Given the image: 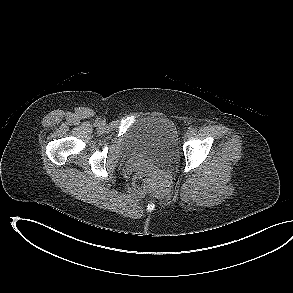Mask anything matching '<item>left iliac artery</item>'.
Returning a JSON list of instances; mask_svg holds the SVG:
<instances>
[{"label": "left iliac artery", "mask_w": 293, "mask_h": 293, "mask_svg": "<svg viewBox=\"0 0 293 293\" xmlns=\"http://www.w3.org/2000/svg\"><path fill=\"white\" fill-rule=\"evenodd\" d=\"M191 130H192V133H196L197 130H198V128H197V127H194V128H192Z\"/></svg>", "instance_id": "left-iliac-artery-1"}]
</instances>
